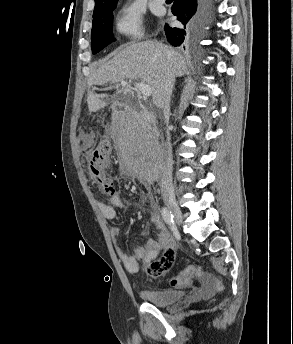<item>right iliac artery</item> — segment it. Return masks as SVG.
<instances>
[{
    "instance_id": "82829eb1",
    "label": "right iliac artery",
    "mask_w": 293,
    "mask_h": 344,
    "mask_svg": "<svg viewBox=\"0 0 293 344\" xmlns=\"http://www.w3.org/2000/svg\"><path fill=\"white\" fill-rule=\"evenodd\" d=\"M161 215L167 224H172L174 222L173 221L174 216H173L172 212L169 209H167L166 207H163L161 209Z\"/></svg>"
}]
</instances>
